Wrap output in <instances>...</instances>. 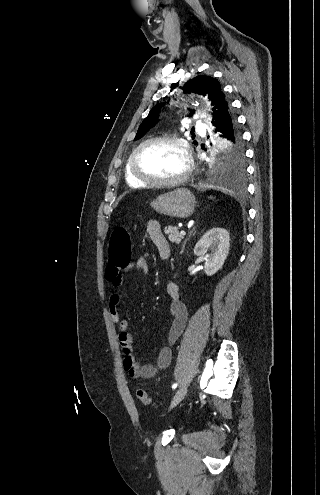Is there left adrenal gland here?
Masks as SVG:
<instances>
[{
	"mask_svg": "<svg viewBox=\"0 0 320 495\" xmlns=\"http://www.w3.org/2000/svg\"><path fill=\"white\" fill-rule=\"evenodd\" d=\"M191 235H192V233H190V235L188 236V238H187V239H185V241H184V243H183V246H182L181 253L184 251L185 245H186L187 241L190 239Z\"/></svg>",
	"mask_w": 320,
	"mask_h": 495,
	"instance_id": "obj_1",
	"label": "left adrenal gland"
}]
</instances>
